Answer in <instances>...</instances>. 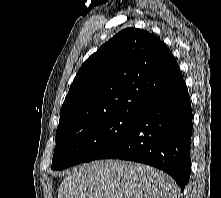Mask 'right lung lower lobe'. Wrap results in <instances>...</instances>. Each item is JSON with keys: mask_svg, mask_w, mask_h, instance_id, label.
<instances>
[{"mask_svg": "<svg viewBox=\"0 0 221 198\" xmlns=\"http://www.w3.org/2000/svg\"><path fill=\"white\" fill-rule=\"evenodd\" d=\"M192 109L182 80L150 103L134 128L96 159H124L145 163L171 175L185 189L191 173Z\"/></svg>", "mask_w": 221, "mask_h": 198, "instance_id": "obj_1", "label": "right lung lower lobe"}]
</instances>
